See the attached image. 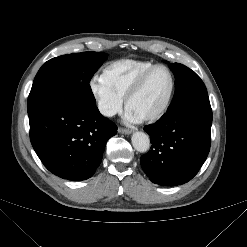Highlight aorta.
Instances as JSON below:
<instances>
[{"mask_svg":"<svg viewBox=\"0 0 247 247\" xmlns=\"http://www.w3.org/2000/svg\"><path fill=\"white\" fill-rule=\"evenodd\" d=\"M131 142L133 147L139 152H146L150 149V138L145 132H134L131 137Z\"/></svg>","mask_w":247,"mask_h":247,"instance_id":"1","label":"aorta"}]
</instances>
